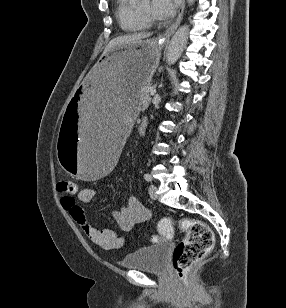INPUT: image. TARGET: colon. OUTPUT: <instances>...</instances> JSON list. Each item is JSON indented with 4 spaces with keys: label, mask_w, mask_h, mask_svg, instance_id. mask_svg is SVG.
<instances>
[{
    "label": "colon",
    "mask_w": 286,
    "mask_h": 308,
    "mask_svg": "<svg viewBox=\"0 0 286 308\" xmlns=\"http://www.w3.org/2000/svg\"><path fill=\"white\" fill-rule=\"evenodd\" d=\"M57 191L65 197L72 198L76 192V183L70 180H60L57 183ZM176 224L186 235L175 247L172 265L178 279L186 283L188 270L213 247L214 234L205 223L193 218H182ZM158 231L161 237L152 236L151 242L157 243L162 239H171L174 222L167 218L160 220Z\"/></svg>",
    "instance_id": "colon-1"
}]
</instances>
